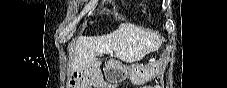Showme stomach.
Wrapping results in <instances>:
<instances>
[{"label":"stomach","mask_w":227,"mask_h":88,"mask_svg":"<svg viewBox=\"0 0 227 88\" xmlns=\"http://www.w3.org/2000/svg\"><path fill=\"white\" fill-rule=\"evenodd\" d=\"M161 66L160 60H153L146 65H123L119 60L110 59L106 64V75L113 83H120L130 78L133 84L142 85L159 74Z\"/></svg>","instance_id":"stomach-1"}]
</instances>
